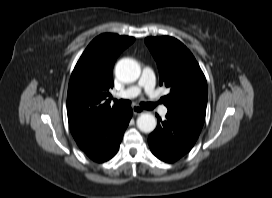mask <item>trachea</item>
Instances as JSON below:
<instances>
[{
  "label": "trachea",
  "instance_id": "obj_1",
  "mask_svg": "<svg viewBox=\"0 0 272 198\" xmlns=\"http://www.w3.org/2000/svg\"><path fill=\"white\" fill-rule=\"evenodd\" d=\"M114 102L118 103L122 107H129L131 105V101L130 100H123V99L117 100V99H114ZM140 105L144 109L151 110V109L155 108L156 103H145V102H141Z\"/></svg>",
  "mask_w": 272,
  "mask_h": 198
}]
</instances>
